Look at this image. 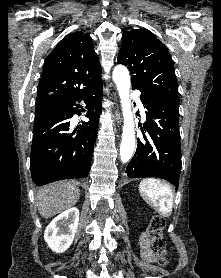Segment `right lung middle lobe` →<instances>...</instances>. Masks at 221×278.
<instances>
[{
	"label": "right lung middle lobe",
	"instance_id": "right-lung-middle-lobe-1",
	"mask_svg": "<svg viewBox=\"0 0 221 278\" xmlns=\"http://www.w3.org/2000/svg\"><path fill=\"white\" fill-rule=\"evenodd\" d=\"M53 109L52 108H49L47 106H36V109H35V119L47 114V113H50L52 112Z\"/></svg>",
	"mask_w": 221,
	"mask_h": 278
}]
</instances>
